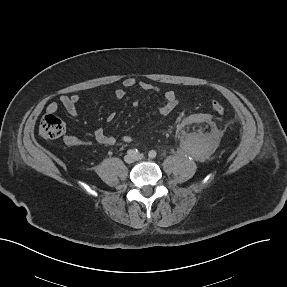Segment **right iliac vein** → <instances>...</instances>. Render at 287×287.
Returning <instances> with one entry per match:
<instances>
[{
	"label": "right iliac vein",
	"mask_w": 287,
	"mask_h": 287,
	"mask_svg": "<svg viewBox=\"0 0 287 287\" xmlns=\"http://www.w3.org/2000/svg\"><path fill=\"white\" fill-rule=\"evenodd\" d=\"M135 157L134 156H132V155H126L125 157H124V160H125V162H127V163H133L134 161H135Z\"/></svg>",
	"instance_id": "63e3f726"
}]
</instances>
